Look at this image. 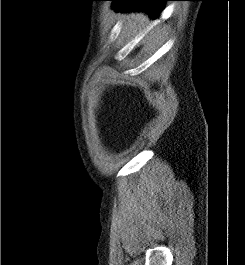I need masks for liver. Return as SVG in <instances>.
Listing matches in <instances>:
<instances>
[{
	"label": "liver",
	"instance_id": "obj_1",
	"mask_svg": "<svg viewBox=\"0 0 245 265\" xmlns=\"http://www.w3.org/2000/svg\"><path fill=\"white\" fill-rule=\"evenodd\" d=\"M122 21V30L128 33H137L138 31L145 30L150 25V19L148 15L142 12L123 13L119 16ZM161 30L159 27H155L151 30L150 36L145 35L147 40L151 42L159 38Z\"/></svg>",
	"mask_w": 245,
	"mask_h": 265
}]
</instances>
